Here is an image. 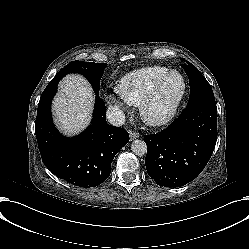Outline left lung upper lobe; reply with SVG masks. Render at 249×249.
Returning <instances> with one entry per match:
<instances>
[{"label":"left lung upper lobe","mask_w":249,"mask_h":249,"mask_svg":"<svg viewBox=\"0 0 249 249\" xmlns=\"http://www.w3.org/2000/svg\"><path fill=\"white\" fill-rule=\"evenodd\" d=\"M185 70L190 82L189 102L205 97H214L212 88L201 72L190 62L181 65Z\"/></svg>","instance_id":"left-lung-upper-lobe-1"}]
</instances>
